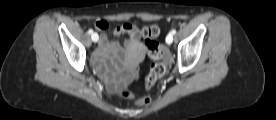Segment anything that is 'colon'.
<instances>
[{"label": "colon", "instance_id": "obj_1", "mask_svg": "<svg viewBox=\"0 0 276 120\" xmlns=\"http://www.w3.org/2000/svg\"><path fill=\"white\" fill-rule=\"evenodd\" d=\"M159 32V27L157 25H149L142 30L148 56L155 61V64L152 66L145 81L146 88L148 89L155 85V83L165 74L167 69L168 53L158 41ZM138 71L139 67L137 66L133 71L134 80L138 76ZM119 96L124 99L133 98V94L128 90L121 91ZM149 102L150 99L146 96L135 99V104L139 106H146Z\"/></svg>", "mask_w": 276, "mask_h": 120}]
</instances>
